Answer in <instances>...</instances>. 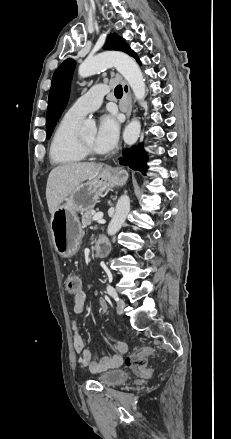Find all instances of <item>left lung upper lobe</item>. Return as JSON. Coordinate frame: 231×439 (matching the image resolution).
<instances>
[{
	"mask_svg": "<svg viewBox=\"0 0 231 439\" xmlns=\"http://www.w3.org/2000/svg\"><path fill=\"white\" fill-rule=\"evenodd\" d=\"M105 49L123 51L133 58L136 56V53L131 50L125 40L116 33L108 36ZM74 68L75 61L67 59L56 69L53 75L47 109V138H50L57 121L67 105Z\"/></svg>",
	"mask_w": 231,
	"mask_h": 439,
	"instance_id": "1",
	"label": "left lung upper lobe"
}]
</instances>
